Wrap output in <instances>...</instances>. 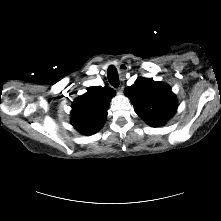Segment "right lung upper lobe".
Returning <instances> with one entry per match:
<instances>
[{
  "label": "right lung upper lobe",
  "instance_id": "right-lung-upper-lobe-1",
  "mask_svg": "<svg viewBox=\"0 0 221 221\" xmlns=\"http://www.w3.org/2000/svg\"><path fill=\"white\" fill-rule=\"evenodd\" d=\"M115 91L108 87H92L72 104L71 124L83 135L96 133L104 124L107 108Z\"/></svg>",
  "mask_w": 221,
  "mask_h": 221
}]
</instances>
